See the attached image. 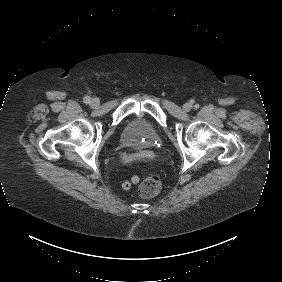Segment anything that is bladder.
Returning <instances> with one entry per match:
<instances>
[{
  "label": "bladder",
  "mask_w": 282,
  "mask_h": 282,
  "mask_svg": "<svg viewBox=\"0 0 282 282\" xmlns=\"http://www.w3.org/2000/svg\"><path fill=\"white\" fill-rule=\"evenodd\" d=\"M120 141L130 150H152L161 143V136L150 120L137 116L125 124L120 134Z\"/></svg>",
  "instance_id": "bladder-1"
}]
</instances>
